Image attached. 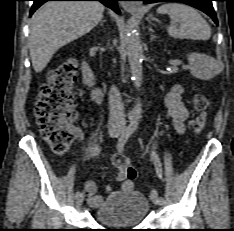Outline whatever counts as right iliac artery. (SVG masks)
I'll use <instances>...</instances> for the list:
<instances>
[{
    "label": "right iliac artery",
    "mask_w": 234,
    "mask_h": 231,
    "mask_svg": "<svg viewBox=\"0 0 234 231\" xmlns=\"http://www.w3.org/2000/svg\"><path fill=\"white\" fill-rule=\"evenodd\" d=\"M100 152H101V147L98 146V145H95L94 147H92V148L90 149V155H91V156H97V155L100 154ZM80 195H82V193H81L80 191H77V192L75 193V198L79 197Z\"/></svg>",
    "instance_id": "obj_1"
}]
</instances>
